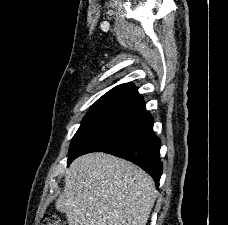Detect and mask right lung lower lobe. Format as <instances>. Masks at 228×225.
Returning a JSON list of instances; mask_svg holds the SVG:
<instances>
[{"label":"right lung lower lobe","mask_w":228,"mask_h":225,"mask_svg":"<svg viewBox=\"0 0 228 225\" xmlns=\"http://www.w3.org/2000/svg\"><path fill=\"white\" fill-rule=\"evenodd\" d=\"M152 127L153 119L138 95L93 129L69 154L68 165L83 154L106 152L140 166L158 188L162 174L161 144Z\"/></svg>","instance_id":"1"}]
</instances>
